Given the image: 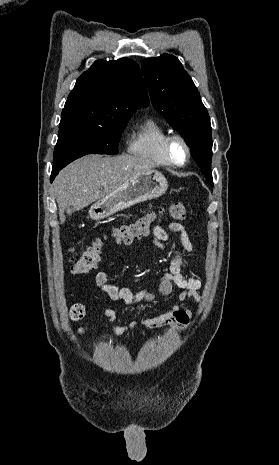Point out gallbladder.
I'll use <instances>...</instances> for the list:
<instances>
[{"instance_id": "gallbladder-1", "label": "gallbladder", "mask_w": 279, "mask_h": 465, "mask_svg": "<svg viewBox=\"0 0 279 465\" xmlns=\"http://www.w3.org/2000/svg\"><path fill=\"white\" fill-rule=\"evenodd\" d=\"M71 211H72L71 209L68 210V212H71Z\"/></svg>"}]
</instances>
